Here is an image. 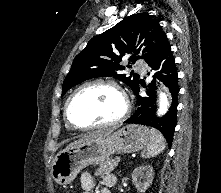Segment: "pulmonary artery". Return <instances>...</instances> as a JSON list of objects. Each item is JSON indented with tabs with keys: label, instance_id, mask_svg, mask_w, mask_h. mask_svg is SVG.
I'll list each match as a JSON object with an SVG mask.
<instances>
[{
	"label": "pulmonary artery",
	"instance_id": "1",
	"mask_svg": "<svg viewBox=\"0 0 221 193\" xmlns=\"http://www.w3.org/2000/svg\"><path fill=\"white\" fill-rule=\"evenodd\" d=\"M136 69H137V71H139L141 74H145L147 67H146L145 64L140 63V62H137V63H136Z\"/></svg>",
	"mask_w": 221,
	"mask_h": 193
}]
</instances>
